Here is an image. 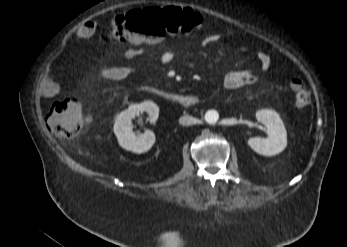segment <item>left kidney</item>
I'll use <instances>...</instances> for the list:
<instances>
[{"label": "left kidney", "instance_id": "5707ae66", "mask_svg": "<svg viewBox=\"0 0 347 247\" xmlns=\"http://www.w3.org/2000/svg\"><path fill=\"white\" fill-rule=\"evenodd\" d=\"M256 118L268 128V137L249 138L248 145L264 156H273L282 152L287 146V132L279 114L273 110L263 109L256 112Z\"/></svg>", "mask_w": 347, "mask_h": 247}]
</instances>
